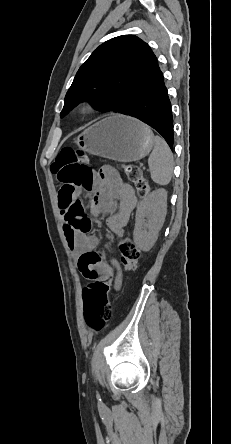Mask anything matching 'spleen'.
<instances>
[{
	"label": "spleen",
	"mask_w": 231,
	"mask_h": 444,
	"mask_svg": "<svg viewBox=\"0 0 231 444\" xmlns=\"http://www.w3.org/2000/svg\"><path fill=\"white\" fill-rule=\"evenodd\" d=\"M152 180L159 185H167L173 174V154L166 141L154 137V149L148 158Z\"/></svg>",
	"instance_id": "spleen-1"
}]
</instances>
